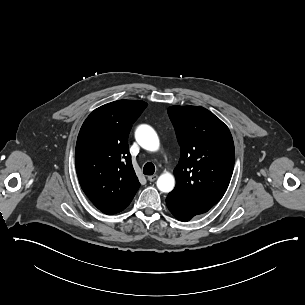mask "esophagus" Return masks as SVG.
<instances>
[{
    "mask_svg": "<svg viewBox=\"0 0 305 305\" xmlns=\"http://www.w3.org/2000/svg\"><path fill=\"white\" fill-rule=\"evenodd\" d=\"M157 178H158V175H151V176H148V177H147V179H148L150 182L155 181Z\"/></svg>",
    "mask_w": 305,
    "mask_h": 305,
    "instance_id": "esophagus-1",
    "label": "esophagus"
}]
</instances>
